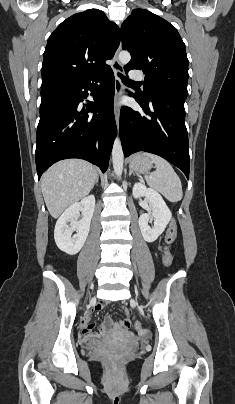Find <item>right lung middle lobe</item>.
I'll use <instances>...</instances> for the list:
<instances>
[{"label":"right lung middle lobe","mask_w":235,"mask_h":404,"mask_svg":"<svg viewBox=\"0 0 235 404\" xmlns=\"http://www.w3.org/2000/svg\"><path fill=\"white\" fill-rule=\"evenodd\" d=\"M50 85H52V84L44 85V86H42V87H46V86H50Z\"/></svg>","instance_id":"dd1d6c3e"}]
</instances>
